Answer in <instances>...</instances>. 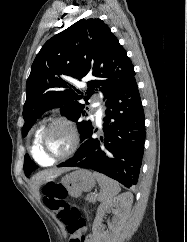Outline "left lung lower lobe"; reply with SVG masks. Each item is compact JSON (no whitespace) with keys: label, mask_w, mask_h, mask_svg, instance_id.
I'll use <instances>...</instances> for the list:
<instances>
[{"label":"left lung lower lobe","mask_w":187,"mask_h":242,"mask_svg":"<svg viewBox=\"0 0 187 242\" xmlns=\"http://www.w3.org/2000/svg\"><path fill=\"white\" fill-rule=\"evenodd\" d=\"M103 134L92 127L74 156L58 167L103 173L127 188L138 182L145 142V117L134 77L106 101Z\"/></svg>","instance_id":"0a47b994"}]
</instances>
